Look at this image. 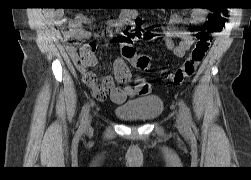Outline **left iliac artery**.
Listing matches in <instances>:
<instances>
[{
	"instance_id": "1",
	"label": "left iliac artery",
	"mask_w": 251,
	"mask_h": 180,
	"mask_svg": "<svg viewBox=\"0 0 251 180\" xmlns=\"http://www.w3.org/2000/svg\"><path fill=\"white\" fill-rule=\"evenodd\" d=\"M179 105H180L181 112L184 114L187 122L191 124L192 119H191V115H190L188 107L182 100L180 101Z\"/></svg>"
}]
</instances>
